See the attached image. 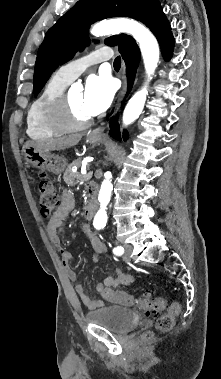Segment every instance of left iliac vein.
I'll use <instances>...</instances> for the list:
<instances>
[{
  "instance_id": "left-iliac-vein-1",
  "label": "left iliac vein",
  "mask_w": 221,
  "mask_h": 379,
  "mask_svg": "<svg viewBox=\"0 0 221 379\" xmlns=\"http://www.w3.org/2000/svg\"><path fill=\"white\" fill-rule=\"evenodd\" d=\"M124 249H125V252H124V255H123V259L126 261V262H130L131 261V252H132V247L128 244H125L124 245Z\"/></svg>"
}]
</instances>
